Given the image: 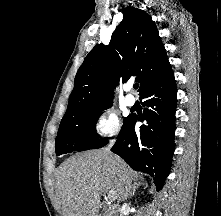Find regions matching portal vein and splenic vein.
I'll return each mask as SVG.
<instances>
[{"mask_svg":"<svg viewBox=\"0 0 221 216\" xmlns=\"http://www.w3.org/2000/svg\"><path fill=\"white\" fill-rule=\"evenodd\" d=\"M107 198H108L109 200H111V199H113V198H114V196H113V194H112V193H108V194H107Z\"/></svg>","mask_w":221,"mask_h":216,"instance_id":"1","label":"portal vein and splenic vein"}]
</instances>
